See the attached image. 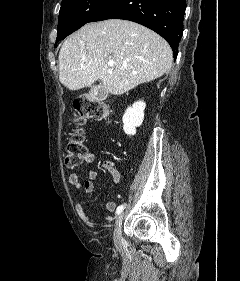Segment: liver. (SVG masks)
<instances>
[{
	"mask_svg": "<svg viewBox=\"0 0 240 281\" xmlns=\"http://www.w3.org/2000/svg\"><path fill=\"white\" fill-rule=\"evenodd\" d=\"M58 59L59 80L69 90L100 80L108 92L121 95L164 75L173 55L167 41L152 30L110 19L86 24L67 37Z\"/></svg>",
	"mask_w": 240,
	"mask_h": 281,
	"instance_id": "1",
	"label": "liver"
}]
</instances>
